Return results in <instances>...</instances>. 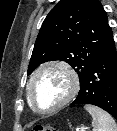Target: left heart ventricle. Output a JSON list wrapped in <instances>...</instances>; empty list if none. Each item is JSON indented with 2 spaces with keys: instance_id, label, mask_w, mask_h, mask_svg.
<instances>
[{
  "instance_id": "1",
  "label": "left heart ventricle",
  "mask_w": 117,
  "mask_h": 131,
  "mask_svg": "<svg viewBox=\"0 0 117 131\" xmlns=\"http://www.w3.org/2000/svg\"><path fill=\"white\" fill-rule=\"evenodd\" d=\"M69 91V79L59 69L43 71L34 81L33 96L39 108L46 110L57 105Z\"/></svg>"
}]
</instances>
